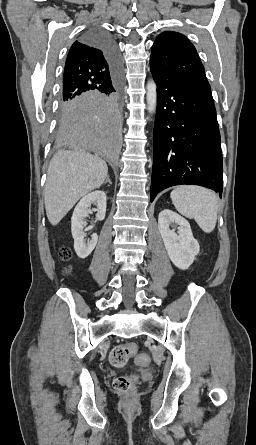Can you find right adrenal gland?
I'll return each mask as SVG.
<instances>
[{"label":"right adrenal gland","mask_w":256,"mask_h":445,"mask_svg":"<svg viewBox=\"0 0 256 445\" xmlns=\"http://www.w3.org/2000/svg\"><path fill=\"white\" fill-rule=\"evenodd\" d=\"M106 183H109V185H112V182H111V180H110V177H109V176H107V178H106V180H105L104 184H106Z\"/></svg>","instance_id":"1"}]
</instances>
